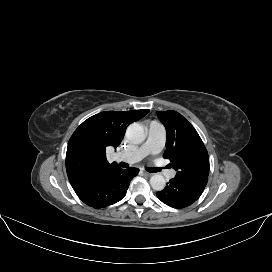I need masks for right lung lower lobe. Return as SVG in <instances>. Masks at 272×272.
<instances>
[{"instance_id": "right-lung-lower-lobe-1", "label": "right lung lower lobe", "mask_w": 272, "mask_h": 272, "mask_svg": "<svg viewBox=\"0 0 272 272\" xmlns=\"http://www.w3.org/2000/svg\"><path fill=\"white\" fill-rule=\"evenodd\" d=\"M138 172L134 167H114L96 178L74 186L73 189L85 204L100 209L120 201Z\"/></svg>"}]
</instances>
